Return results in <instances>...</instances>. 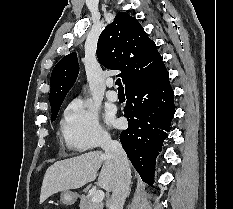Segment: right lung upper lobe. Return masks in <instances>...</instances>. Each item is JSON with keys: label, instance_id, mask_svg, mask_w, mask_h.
I'll use <instances>...</instances> for the list:
<instances>
[{"label": "right lung upper lobe", "instance_id": "obj_1", "mask_svg": "<svg viewBox=\"0 0 233 209\" xmlns=\"http://www.w3.org/2000/svg\"><path fill=\"white\" fill-rule=\"evenodd\" d=\"M97 58L106 68L121 71L125 90L151 77L161 65L162 57L155 43L146 35L136 18L120 12L99 36ZM79 72L76 53L63 57L51 74L49 101L52 111L59 108Z\"/></svg>", "mask_w": 233, "mask_h": 209}]
</instances>
